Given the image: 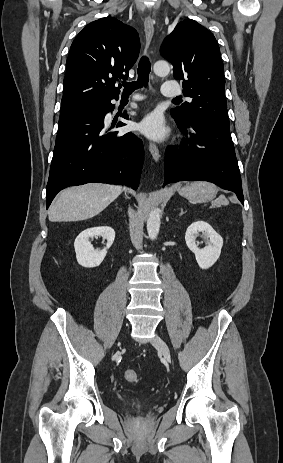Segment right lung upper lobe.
<instances>
[{"instance_id":"1","label":"right lung upper lobe","mask_w":283,"mask_h":463,"mask_svg":"<svg viewBox=\"0 0 283 463\" xmlns=\"http://www.w3.org/2000/svg\"><path fill=\"white\" fill-rule=\"evenodd\" d=\"M140 50L138 33L105 17L88 24L73 41L66 61L61 114L100 99L117 97L118 78L127 79Z\"/></svg>"}]
</instances>
